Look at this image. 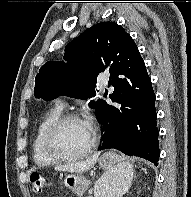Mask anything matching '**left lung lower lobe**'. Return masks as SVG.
Returning a JSON list of instances; mask_svg holds the SVG:
<instances>
[{
    "mask_svg": "<svg viewBox=\"0 0 191 197\" xmlns=\"http://www.w3.org/2000/svg\"><path fill=\"white\" fill-rule=\"evenodd\" d=\"M114 92L109 95L116 108L106 103L97 115L103 124L102 146L114 148L126 155L145 158L154 165L159 159L155 94L146 67L134 72H120L110 76Z\"/></svg>",
    "mask_w": 191,
    "mask_h": 197,
    "instance_id": "0a47b994",
    "label": "left lung lower lobe"
}]
</instances>
